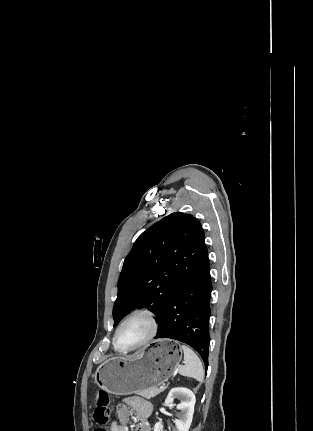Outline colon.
<instances>
[{
  "label": "colon",
  "mask_w": 313,
  "mask_h": 431,
  "mask_svg": "<svg viewBox=\"0 0 313 431\" xmlns=\"http://www.w3.org/2000/svg\"><path fill=\"white\" fill-rule=\"evenodd\" d=\"M110 397L107 392L99 390L96 393V407L94 410V420L99 425L94 431H107L105 425L110 418Z\"/></svg>",
  "instance_id": "1"
}]
</instances>
